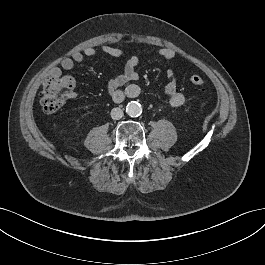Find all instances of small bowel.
I'll return each instance as SVG.
<instances>
[{"mask_svg":"<svg viewBox=\"0 0 265 265\" xmlns=\"http://www.w3.org/2000/svg\"><path fill=\"white\" fill-rule=\"evenodd\" d=\"M100 53L112 57L123 56L122 50L107 44H100L97 47L88 46L81 51H75L70 57L63 58L60 66L53 67L50 70V74L59 76L63 71L73 69L75 64L81 63L85 57H93ZM156 55L163 59L170 60L175 57V52L170 48H161L156 51ZM141 60L142 59L137 56L129 57L125 63L123 72L109 81L108 93L113 101L121 102L125 97H136L139 95L140 88L132 82L136 81L139 77L137 68ZM166 76L167 83L164 87V94L172 107H180L183 105L185 97L177 88V73L169 69ZM126 84H128V86L125 90H121L120 88Z\"/></svg>","mask_w":265,"mask_h":265,"instance_id":"obj_1","label":"small bowel"}]
</instances>
